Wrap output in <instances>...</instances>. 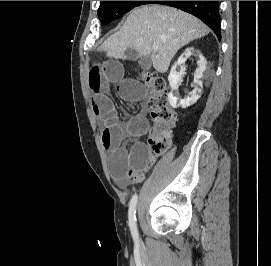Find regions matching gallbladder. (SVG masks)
Listing matches in <instances>:
<instances>
[{
    "label": "gallbladder",
    "instance_id": "gallbladder-1",
    "mask_svg": "<svg viewBox=\"0 0 271 266\" xmlns=\"http://www.w3.org/2000/svg\"><path fill=\"white\" fill-rule=\"evenodd\" d=\"M124 58L126 60H135L137 58V53L133 49H127ZM138 64L141 69L147 71L151 68V59L149 56H143L139 59Z\"/></svg>",
    "mask_w": 271,
    "mask_h": 266
}]
</instances>
